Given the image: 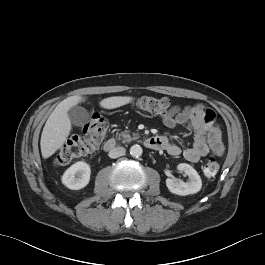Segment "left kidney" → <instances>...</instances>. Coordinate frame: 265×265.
Wrapping results in <instances>:
<instances>
[{
    "label": "left kidney",
    "instance_id": "left-kidney-1",
    "mask_svg": "<svg viewBox=\"0 0 265 265\" xmlns=\"http://www.w3.org/2000/svg\"><path fill=\"white\" fill-rule=\"evenodd\" d=\"M177 169L184 172L189 177L188 182H176L172 178L166 179V186L171 193L176 195H189L195 194L201 190L202 181L197 171L189 164L181 163L177 166Z\"/></svg>",
    "mask_w": 265,
    "mask_h": 265
}]
</instances>
